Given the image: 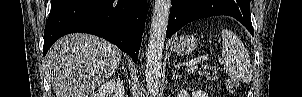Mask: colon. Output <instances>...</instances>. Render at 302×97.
I'll list each match as a JSON object with an SVG mask.
<instances>
[{"instance_id": "colon-1", "label": "colon", "mask_w": 302, "mask_h": 97, "mask_svg": "<svg viewBox=\"0 0 302 97\" xmlns=\"http://www.w3.org/2000/svg\"><path fill=\"white\" fill-rule=\"evenodd\" d=\"M201 75L209 81H213L216 78V70L214 67H212L211 65H203L201 70H200ZM236 81L232 80V79H227L225 81V87L228 90H234L236 88Z\"/></svg>"}]
</instances>
